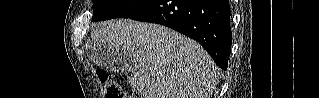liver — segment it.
<instances>
[{"label":"liver","instance_id":"obj_1","mask_svg":"<svg viewBox=\"0 0 319 98\" xmlns=\"http://www.w3.org/2000/svg\"><path fill=\"white\" fill-rule=\"evenodd\" d=\"M91 38V48L104 44L131 54L127 82L141 98H210L219 82L202 46L165 26L116 19L101 23Z\"/></svg>","mask_w":319,"mask_h":98}]
</instances>
